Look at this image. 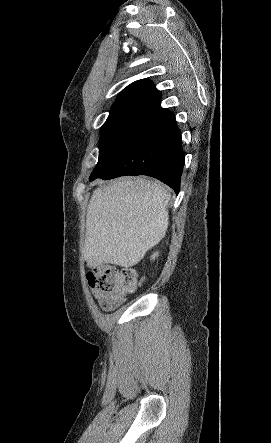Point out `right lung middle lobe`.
I'll return each instance as SVG.
<instances>
[{"label":"right lung middle lobe","mask_w":271,"mask_h":443,"mask_svg":"<svg viewBox=\"0 0 271 443\" xmlns=\"http://www.w3.org/2000/svg\"><path fill=\"white\" fill-rule=\"evenodd\" d=\"M153 107L154 105L149 103L113 104L102 129L99 159L92 175L99 173L107 166L131 129Z\"/></svg>","instance_id":"1"}]
</instances>
